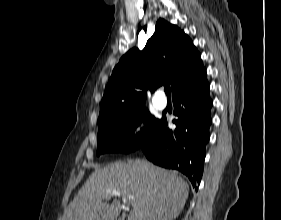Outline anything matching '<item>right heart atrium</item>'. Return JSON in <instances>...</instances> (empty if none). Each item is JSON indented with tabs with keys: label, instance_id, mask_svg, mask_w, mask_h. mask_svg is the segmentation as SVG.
<instances>
[{
	"label": "right heart atrium",
	"instance_id": "right-heart-atrium-1",
	"mask_svg": "<svg viewBox=\"0 0 281 220\" xmlns=\"http://www.w3.org/2000/svg\"><path fill=\"white\" fill-rule=\"evenodd\" d=\"M145 127L144 120H137L129 129V136L132 139L138 138L142 135Z\"/></svg>",
	"mask_w": 281,
	"mask_h": 220
}]
</instances>
